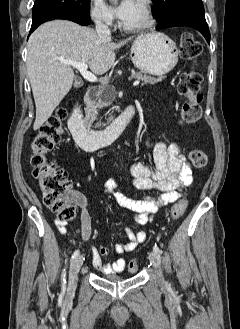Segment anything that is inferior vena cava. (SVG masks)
Wrapping results in <instances>:
<instances>
[{
  "label": "inferior vena cava",
  "mask_w": 240,
  "mask_h": 329,
  "mask_svg": "<svg viewBox=\"0 0 240 329\" xmlns=\"http://www.w3.org/2000/svg\"><path fill=\"white\" fill-rule=\"evenodd\" d=\"M96 33L102 39H109L111 37L109 27L103 22L102 19H96Z\"/></svg>",
  "instance_id": "obj_1"
}]
</instances>
